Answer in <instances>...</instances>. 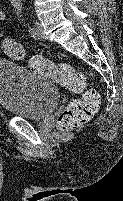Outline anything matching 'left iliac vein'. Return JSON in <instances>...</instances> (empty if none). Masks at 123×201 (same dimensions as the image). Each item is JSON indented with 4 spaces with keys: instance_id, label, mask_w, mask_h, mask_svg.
Here are the masks:
<instances>
[{
    "instance_id": "1",
    "label": "left iliac vein",
    "mask_w": 123,
    "mask_h": 201,
    "mask_svg": "<svg viewBox=\"0 0 123 201\" xmlns=\"http://www.w3.org/2000/svg\"><path fill=\"white\" fill-rule=\"evenodd\" d=\"M35 38L41 39L45 38L44 32H43V26L40 22H36V36Z\"/></svg>"
}]
</instances>
